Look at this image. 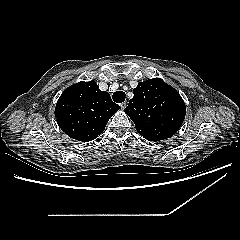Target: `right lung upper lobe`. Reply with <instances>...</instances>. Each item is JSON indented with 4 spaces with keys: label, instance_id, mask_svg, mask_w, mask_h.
<instances>
[{
    "label": "right lung upper lobe",
    "instance_id": "right-lung-upper-lobe-1",
    "mask_svg": "<svg viewBox=\"0 0 240 240\" xmlns=\"http://www.w3.org/2000/svg\"><path fill=\"white\" fill-rule=\"evenodd\" d=\"M119 109L110 94L101 91L96 82H79L61 94L55 117L69 137L88 142L104 131L108 120Z\"/></svg>",
    "mask_w": 240,
    "mask_h": 240
}]
</instances>
